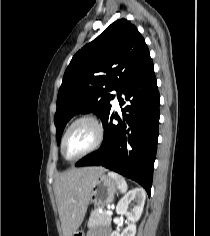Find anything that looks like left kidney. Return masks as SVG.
I'll return each mask as SVG.
<instances>
[{"instance_id":"5707ae66","label":"left kidney","mask_w":210,"mask_h":236,"mask_svg":"<svg viewBox=\"0 0 210 236\" xmlns=\"http://www.w3.org/2000/svg\"><path fill=\"white\" fill-rule=\"evenodd\" d=\"M146 194L141 188H134L126 193L116 206L118 215H125L130 224L120 234L117 231L112 232L111 236H135L136 222L140 219L143 212ZM136 201V205L131 211H128V205Z\"/></svg>"}]
</instances>
